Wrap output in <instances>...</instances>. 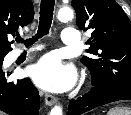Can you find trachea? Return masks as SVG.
I'll use <instances>...</instances> for the list:
<instances>
[{
  "label": "trachea",
  "mask_w": 131,
  "mask_h": 115,
  "mask_svg": "<svg viewBox=\"0 0 131 115\" xmlns=\"http://www.w3.org/2000/svg\"><path fill=\"white\" fill-rule=\"evenodd\" d=\"M55 0H41L40 4V21H39V28L37 34L27 40H23L21 37L16 38L17 43H24L26 47L31 46L35 43L39 38L47 35L49 33L52 18H53V11H54Z\"/></svg>",
  "instance_id": "1"
}]
</instances>
